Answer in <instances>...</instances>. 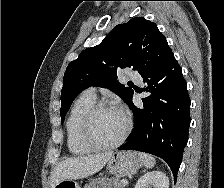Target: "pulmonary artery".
<instances>
[{
    "mask_svg": "<svg viewBox=\"0 0 224 188\" xmlns=\"http://www.w3.org/2000/svg\"><path fill=\"white\" fill-rule=\"evenodd\" d=\"M127 76H128V78H130L132 80H137V81L140 80V75L137 71L130 70V71H128ZM85 93L89 96L96 97V89L94 87L88 88L85 91Z\"/></svg>",
    "mask_w": 224,
    "mask_h": 188,
    "instance_id": "1",
    "label": "pulmonary artery"
}]
</instances>
